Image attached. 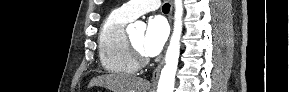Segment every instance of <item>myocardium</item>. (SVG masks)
<instances>
[{"instance_id":"obj_1","label":"myocardium","mask_w":289,"mask_h":92,"mask_svg":"<svg viewBox=\"0 0 289 92\" xmlns=\"http://www.w3.org/2000/svg\"><path fill=\"white\" fill-rule=\"evenodd\" d=\"M127 44L131 56L133 57L136 64L138 66H144L148 62V58L145 56V54L134 45L130 37H127Z\"/></svg>"}]
</instances>
